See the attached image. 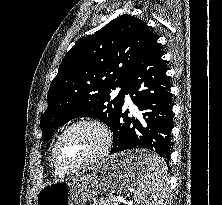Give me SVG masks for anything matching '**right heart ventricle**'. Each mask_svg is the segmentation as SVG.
I'll return each mask as SVG.
<instances>
[{
  "instance_id": "right-heart-ventricle-1",
  "label": "right heart ventricle",
  "mask_w": 222,
  "mask_h": 205,
  "mask_svg": "<svg viewBox=\"0 0 222 205\" xmlns=\"http://www.w3.org/2000/svg\"><path fill=\"white\" fill-rule=\"evenodd\" d=\"M52 163H53V169L56 175L58 176H64L67 172H64L63 170H61L59 167L56 166V164L54 163L53 159H52Z\"/></svg>"
}]
</instances>
